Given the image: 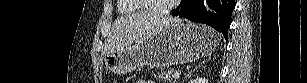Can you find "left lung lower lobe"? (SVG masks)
Returning <instances> with one entry per match:
<instances>
[{"instance_id": "1", "label": "left lung lower lobe", "mask_w": 307, "mask_h": 83, "mask_svg": "<svg viewBox=\"0 0 307 83\" xmlns=\"http://www.w3.org/2000/svg\"><path fill=\"white\" fill-rule=\"evenodd\" d=\"M234 8L235 0H181L171 14L207 24L220 31L227 39Z\"/></svg>"}]
</instances>
